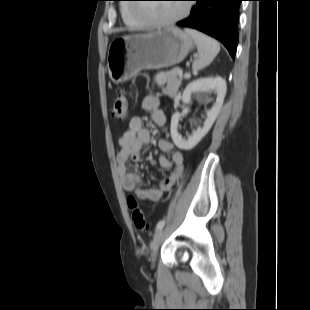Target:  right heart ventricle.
I'll return each mask as SVG.
<instances>
[{
  "label": "right heart ventricle",
  "instance_id": "1",
  "mask_svg": "<svg viewBox=\"0 0 310 310\" xmlns=\"http://www.w3.org/2000/svg\"><path fill=\"white\" fill-rule=\"evenodd\" d=\"M121 17L126 26L131 29H140L145 26L141 21L133 17L132 7L129 4L123 3L120 7Z\"/></svg>",
  "mask_w": 310,
  "mask_h": 310
}]
</instances>
